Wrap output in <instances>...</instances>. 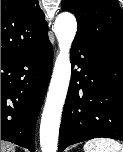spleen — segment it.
Wrapping results in <instances>:
<instances>
[{
	"instance_id": "3e777b00",
	"label": "spleen",
	"mask_w": 123,
	"mask_h": 152,
	"mask_svg": "<svg viewBox=\"0 0 123 152\" xmlns=\"http://www.w3.org/2000/svg\"><path fill=\"white\" fill-rule=\"evenodd\" d=\"M84 152H123V145L108 138H98L84 144Z\"/></svg>"
}]
</instances>
